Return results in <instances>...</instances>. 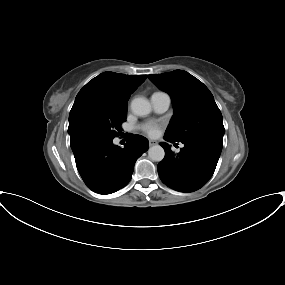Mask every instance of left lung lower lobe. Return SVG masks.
I'll return each mask as SVG.
<instances>
[{
    "label": "left lung lower lobe",
    "mask_w": 285,
    "mask_h": 285,
    "mask_svg": "<svg viewBox=\"0 0 285 285\" xmlns=\"http://www.w3.org/2000/svg\"><path fill=\"white\" fill-rule=\"evenodd\" d=\"M169 142H176L164 136ZM177 155L168 144L164 159L158 164L159 177L168 187L180 192H193L204 186L213 175L222 150V142L213 138L183 141Z\"/></svg>",
    "instance_id": "obj_1"
}]
</instances>
